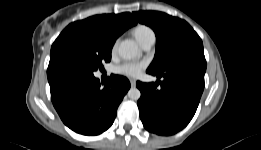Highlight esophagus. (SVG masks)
I'll list each match as a JSON object with an SVG mask.
<instances>
[{
	"label": "esophagus",
	"instance_id": "34e87169",
	"mask_svg": "<svg viewBox=\"0 0 261 150\" xmlns=\"http://www.w3.org/2000/svg\"><path fill=\"white\" fill-rule=\"evenodd\" d=\"M130 84L132 87L136 86V80L135 79H130Z\"/></svg>",
	"mask_w": 261,
	"mask_h": 150
}]
</instances>
